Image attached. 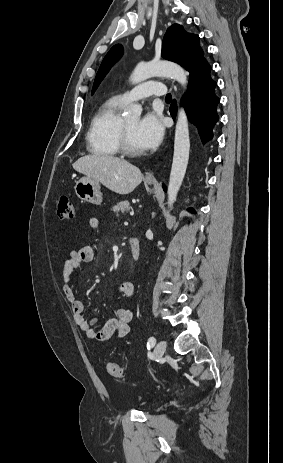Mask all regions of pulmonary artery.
I'll list each match as a JSON object with an SVG mask.
<instances>
[{"label":"pulmonary artery","mask_w":283,"mask_h":463,"mask_svg":"<svg viewBox=\"0 0 283 463\" xmlns=\"http://www.w3.org/2000/svg\"><path fill=\"white\" fill-rule=\"evenodd\" d=\"M167 92L166 86L159 81H149L136 86L130 91H127L118 97L124 103H130L139 99L150 96H164Z\"/></svg>","instance_id":"obj_1"}]
</instances>
